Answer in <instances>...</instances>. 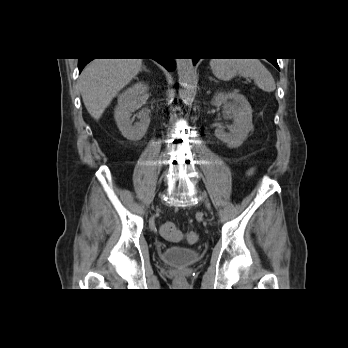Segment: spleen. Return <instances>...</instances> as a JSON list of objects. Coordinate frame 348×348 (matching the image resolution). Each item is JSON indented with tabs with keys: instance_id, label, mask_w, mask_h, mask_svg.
I'll list each match as a JSON object with an SVG mask.
<instances>
[{
	"instance_id": "spleen-1",
	"label": "spleen",
	"mask_w": 348,
	"mask_h": 348,
	"mask_svg": "<svg viewBox=\"0 0 348 348\" xmlns=\"http://www.w3.org/2000/svg\"><path fill=\"white\" fill-rule=\"evenodd\" d=\"M210 66L215 77L222 81H229L238 74L254 79L265 92L276 89L274 78L258 59H212Z\"/></svg>"
}]
</instances>
